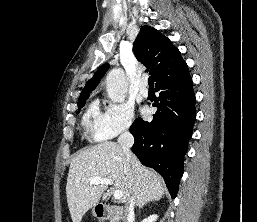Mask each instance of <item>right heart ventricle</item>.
I'll use <instances>...</instances> for the list:
<instances>
[{
    "instance_id": "e07e8e85",
    "label": "right heart ventricle",
    "mask_w": 257,
    "mask_h": 222,
    "mask_svg": "<svg viewBox=\"0 0 257 222\" xmlns=\"http://www.w3.org/2000/svg\"><path fill=\"white\" fill-rule=\"evenodd\" d=\"M100 117L99 105L97 101H93L83 115V126L90 131L93 136L96 133L97 122Z\"/></svg>"
}]
</instances>
